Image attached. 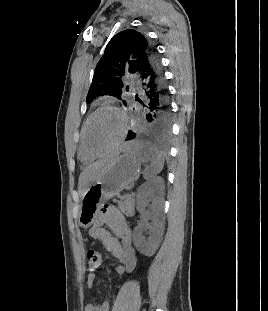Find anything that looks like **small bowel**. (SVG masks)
Returning <instances> with one entry per match:
<instances>
[{
    "label": "small bowel",
    "mask_w": 268,
    "mask_h": 311,
    "mask_svg": "<svg viewBox=\"0 0 268 311\" xmlns=\"http://www.w3.org/2000/svg\"><path fill=\"white\" fill-rule=\"evenodd\" d=\"M89 236L102 243L105 250L119 263L115 272L118 275L131 273L136 266V256L132 245L131 230L123 214L114 206L105 205L89 230ZM95 275L86 277L89 290L94 287ZM110 300L105 298L100 304L88 303L84 311H109Z\"/></svg>",
    "instance_id": "c3829d8e"
}]
</instances>
